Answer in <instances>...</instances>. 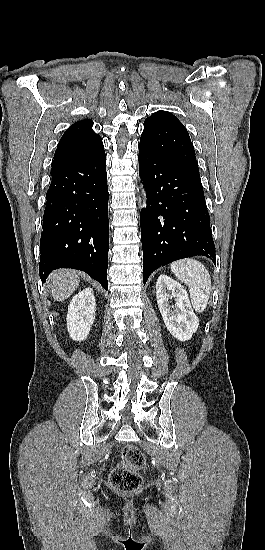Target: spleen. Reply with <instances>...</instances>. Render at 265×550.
<instances>
[{
    "label": "spleen",
    "mask_w": 265,
    "mask_h": 550,
    "mask_svg": "<svg viewBox=\"0 0 265 550\" xmlns=\"http://www.w3.org/2000/svg\"><path fill=\"white\" fill-rule=\"evenodd\" d=\"M170 267L175 276L188 285L195 311L203 312L211 293V278L206 267L194 259H182L173 262Z\"/></svg>",
    "instance_id": "obj_1"
}]
</instances>
